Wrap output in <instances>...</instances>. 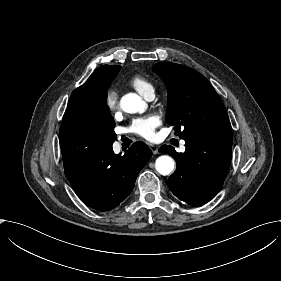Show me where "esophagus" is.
<instances>
[{
    "label": "esophagus",
    "instance_id": "34e87169",
    "mask_svg": "<svg viewBox=\"0 0 281 281\" xmlns=\"http://www.w3.org/2000/svg\"><path fill=\"white\" fill-rule=\"evenodd\" d=\"M148 146L150 147V149L152 150V153L153 154H157L158 153V148L157 146L151 144V143H148Z\"/></svg>",
    "mask_w": 281,
    "mask_h": 281
}]
</instances>
